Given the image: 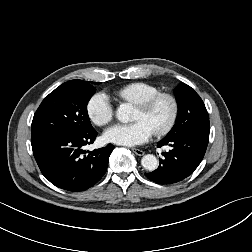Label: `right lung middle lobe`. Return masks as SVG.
Masks as SVG:
<instances>
[{"mask_svg": "<svg viewBox=\"0 0 252 252\" xmlns=\"http://www.w3.org/2000/svg\"><path fill=\"white\" fill-rule=\"evenodd\" d=\"M93 84H100L94 82ZM96 89L91 82L71 80L52 91L40 104L32 121V135L86 134L92 127L87 104Z\"/></svg>", "mask_w": 252, "mask_h": 252, "instance_id": "obj_1", "label": "right lung middle lobe"}]
</instances>
